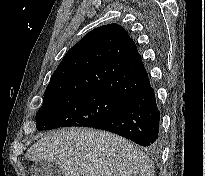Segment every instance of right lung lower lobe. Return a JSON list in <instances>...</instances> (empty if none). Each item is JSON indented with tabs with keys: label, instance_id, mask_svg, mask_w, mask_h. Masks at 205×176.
<instances>
[{
	"label": "right lung lower lobe",
	"instance_id": "1",
	"mask_svg": "<svg viewBox=\"0 0 205 176\" xmlns=\"http://www.w3.org/2000/svg\"><path fill=\"white\" fill-rule=\"evenodd\" d=\"M160 113L153 88L147 87L129 95L116 111L93 128L121 135L151 150L160 147Z\"/></svg>",
	"mask_w": 205,
	"mask_h": 176
}]
</instances>
